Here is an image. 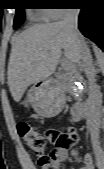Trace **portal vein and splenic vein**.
Listing matches in <instances>:
<instances>
[{"label":"portal vein and splenic vein","instance_id":"obj_1","mask_svg":"<svg viewBox=\"0 0 104 169\" xmlns=\"http://www.w3.org/2000/svg\"><path fill=\"white\" fill-rule=\"evenodd\" d=\"M62 65H63L64 69L68 70V71L74 70V68H75L74 64L70 61H64L62 63Z\"/></svg>","mask_w":104,"mask_h":169}]
</instances>
